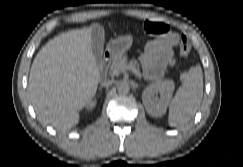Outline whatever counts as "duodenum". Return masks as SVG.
<instances>
[{
    "label": "duodenum",
    "instance_id": "obj_1",
    "mask_svg": "<svg viewBox=\"0 0 243 167\" xmlns=\"http://www.w3.org/2000/svg\"><path fill=\"white\" fill-rule=\"evenodd\" d=\"M112 56H113V54L111 52H106L104 54L103 61L101 62L100 67H99V72L102 77L105 76L107 64L111 60Z\"/></svg>",
    "mask_w": 243,
    "mask_h": 167
}]
</instances>
